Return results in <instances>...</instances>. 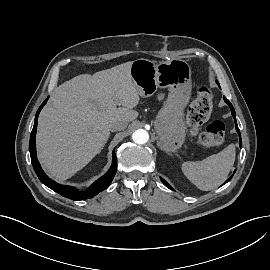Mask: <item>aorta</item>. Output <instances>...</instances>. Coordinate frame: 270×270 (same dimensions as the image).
<instances>
[{"label":"aorta","instance_id":"762f6f07","mask_svg":"<svg viewBox=\"0 0 270 270\" xmlns=\"http://www.w3.org/2000/svg\"><path fill=\"white\" fill-rule=\"evenodd\" d=\"M132 139L136 144L143 145L148 142L149 134L144 129H138L132 134Z\"/></svg>","mask_w":270,"mask_h":270}]
</instances>
